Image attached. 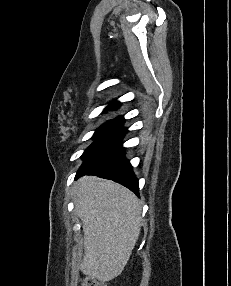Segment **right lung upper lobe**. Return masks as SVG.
I'll use <instances>...</instances> for the list:
<instances>
[{
	"mask_svg": "<svg viewBox=\"0 0 231 286\" xmlns=\"http://www.w3.org/2000/svg\"><path fill=\"white\" fill-rule=\"evenodd\" d=\"M119 105H120V103L118 101H114L110 104V106H112V107H117Z\"/></svg>",
	"mask_w": 231,
	"mask_h": 286,
	"instance_id": "1",
	"label": "right lung upper lobe"
}]
</instances>
